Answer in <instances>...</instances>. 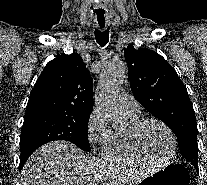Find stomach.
<instances>
[{
	"label": "stomach",
	"mask_w": 207,
	"mask_h": 185,
	"mask_svg": "<svg viewBox=\"0 0 207 185\" xmlns=\"http://www.w3.org/2000/svg\"><path fill=\"white\" fill-rule=\"evenodd\" d=\"M189 172L178 163H171L143 179L141 185H189Z\"/></svg>",
	"instance_id": "1"
}]
</instances>
